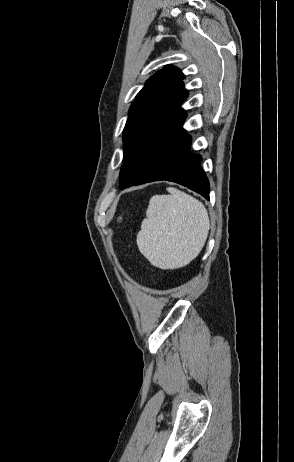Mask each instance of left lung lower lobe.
Segmentation results:
<instances>
[{"label": "left lung lower lobe", "instance_id": "obj_1", "mask_svg": "<svg viewBox=\"0 0 294 462\" xmlns=\"http://www.w3.org/2000/svg\"><path fill=\"white\" fill-rule=\"evenodd\" d=\"M182 98L167 106H155L134 140L122 164L119 188L151 181L176 182L209 200V182L200 167L201 156L190 152L191 138L182 124L186 113Z\"/></svg>", "mask_w": 294, "mask_h": 462}]
</instances>
